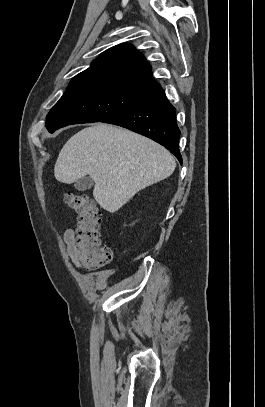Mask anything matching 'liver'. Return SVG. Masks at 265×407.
<instances>
[{
    "mask_svg": "<svg viewBox=\"0 0 265 407\" xmlns=\"http://www.w3.org/2000/svg\"><path fill=\"white\" fill-rule=\"evenodd\" d=\"M176 162L153 140L98 123L73 135L54 167L56 180L72 184L86 175L95 182L93 197L113 213L137 192L172 175Z\"/></svg>",
    "mask_w": 265,
    "mask_h": 407,
    "instance_id": "6515ba94",
    "label": "liver"
}]
</instances>
